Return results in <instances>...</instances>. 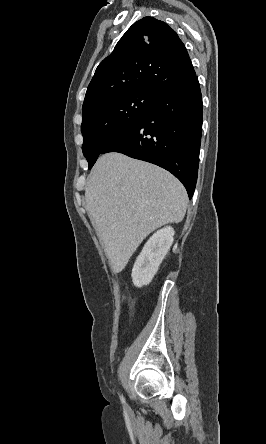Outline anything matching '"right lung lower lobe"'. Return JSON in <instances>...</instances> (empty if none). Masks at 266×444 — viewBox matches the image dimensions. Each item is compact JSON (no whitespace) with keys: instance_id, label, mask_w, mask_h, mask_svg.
Instances as JSON below:
<instances>
[{"instance_id":"right-lung-lower-lobe-1","label":"right lung lower lobe","mask_w":266,"mask_h":444,"mask_svg":"<svg viewBox=\"0 0 266 444\" xmlns=\"http://www.w3.org/2000/svg\"><path fill=\"white\" fill-rule=\"evenodd\" d=\"M203 107L197 76L157 97L138 124L112 139L102 153L119 152L175 175L191 199L201 144Z\"/></svg>"}]
</instances>
